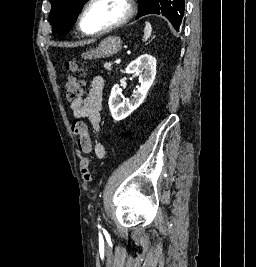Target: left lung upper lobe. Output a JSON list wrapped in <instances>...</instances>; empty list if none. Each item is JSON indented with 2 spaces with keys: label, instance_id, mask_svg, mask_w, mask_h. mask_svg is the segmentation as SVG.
<instances>
[{
  "label": "left lung upper lobe",
  "instance_id": "obj_1",
  "mask_svg": "<svg viewBox=\"0 0 256 267\" xmlns=\"http://www.w3.org/2000/svg\"><path fill=\"white\" fill-rule=\"evenodd\" d=\"M87 0H50L51 24L56 33L65 35L76 22L83 5ZM138 19L147 14H161L171 23L175 17V0H139Z\"/></svg>",
  "mask_w": 256,
  "mask_h": 267
}]
</instances>
